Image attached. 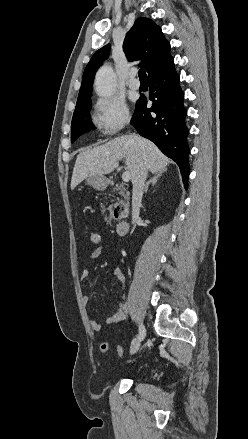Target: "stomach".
Returning <instances> with one entry per match:
<instances>
[{"label":"stomach","instance_id":"1","mask_svg":"<svg viewBox=\"0 0 248 439\" xmlns=\"http://www.w3.org/2000/svg\"><path fill=\"white\" fill-rule=\"evenodd\" d=\"M86 183L96 190H104L109 184V179L104 175H94L88 177Z\"/></svg>","mask_w":248,"mask_h":439}]
</instances>
